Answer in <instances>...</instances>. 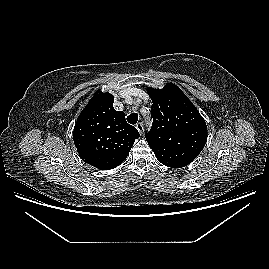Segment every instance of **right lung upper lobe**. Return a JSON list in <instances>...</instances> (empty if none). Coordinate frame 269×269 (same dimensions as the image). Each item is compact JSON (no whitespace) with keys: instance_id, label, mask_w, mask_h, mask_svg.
<instances>
[{"instance_id":"cb5924a9","label":"right lung upper lobe","mask_w":269,"mask_h":269,"mask_svg":"<svg viewBox=\"0 0 269 269\" xmlns=\"http://www.w3.org/2000/svg\"><path fill=\"white\" fill-rule=\"evenodd\" d=\"M112 94L95 93L79 115L73 140L79 156L101 170L120 165L129 154L138 130L125 120L123 111L113 108Z\"/></svg>"}]
</instances>
